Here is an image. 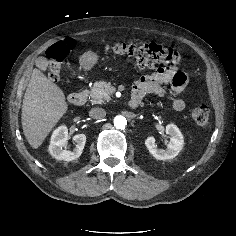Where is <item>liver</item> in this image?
<instances>
[{"label": "liver", "instance_id": "1", "mask_svg": "<svg viewBox=\"0 0 236 236\" xmlns=\"http://www.w3.org/2000/svg\"><path fill=\"white\" fill-rule=\"evenodd\" d=\"M67 109L63 91L39 69H34L24 95L21 114L23 133L34 149L41 146Z\"/></svg>", "mask_w": 236, "mask_h": 236}]
</instances>
